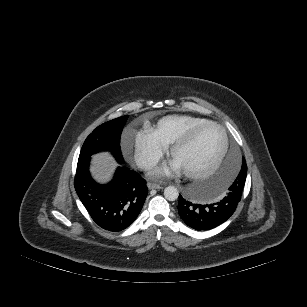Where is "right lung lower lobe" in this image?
<instances>
[{
    "label": "right lung lower lobe",
    "mask_w": 307,
    "mask_h": 307,
    "mask_svg": "<svg viewBox=\"0 0 307 307\" xmlns=\"http://www.w3.org/2000/svg\"><path fill=\"white\" fill-rule=\"evenodd\" d=\"M123 163V158L117 160ZM90 158L78 160L75 190L92 219L103 229L121 231L139 215L148 188L141 176L126 167H118L107 185L96 183L89 172Z\"/></svg>",
    "instance_id": "1"
}]
</instances>
